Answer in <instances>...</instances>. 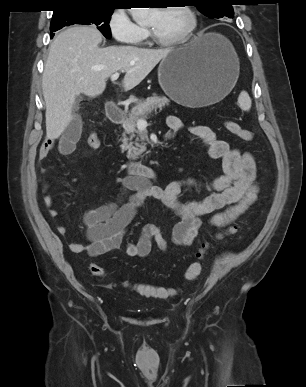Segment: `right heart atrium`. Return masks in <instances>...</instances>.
<instances>
[{
    "label": "right heart atrium",
    "mask_w": 306,
    "mask_h": 387,
    "mask_svg": "<svg viewBox=\"0 0 306 387\" xmlns=\"http://www.w3.org/2000/svg\"><path fill=\"white\" fill-rule=\"evenodd\" d=\"M108 28L112 37L120 44H139L147 36L146 29L134 22L129 11L124 8L113 10Z\"/></svg>",
    "instance_id": "1"
}]
</instances>
